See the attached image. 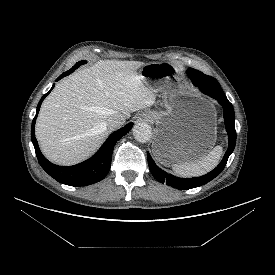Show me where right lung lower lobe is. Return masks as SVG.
I'll return each instance as SVG.
<instances>
[{
	"label": "right lung lower lobe",
	"mask_w": 275,
	"mask_h": 275,
	"mask_svg": "<svg viewBox=\"0 0 275 275\" xmlns=\"http://www.w3.org/2000/svg\"><path fill=\"white\" fill-rule=\"evenodd\" d=\"M75 69L71 68L69 71L60 75L56 81L60 80L64 76L69 75ZM54 85L50 89H53ZM46 93L40 100L36 115L32 122L31 127V139L35 148L37 159L41 167L55 180L60 183L70 186H86L101 181L106 177L110 170L112 152L116 142L125 134H127L133 126V123H129L123 128L113 132L108 139L104 142L101 148L90 159L69 167H62L49 162L41 153L37 140L35 138V121L44 98L50 93Z\"/></svg>",
	"instance_id": "obj_1"
}]
</instances>
